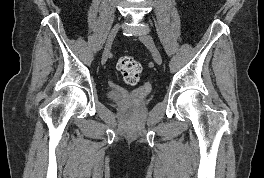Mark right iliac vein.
<instances>
[{
	"instance_id": "right-iliac-vein-1",
	"label": "right iliac vein",
	"mask_w": 264,
	"mask_h": 178,
	"mask_svg": "<svg viewBox=\"0 0 264 178\" xmlns=\"http://www.w3.org/2000/svg\"><path fill=\"white\" fill-rule=\"evenodd\" d=\"M119 30V24H116L110 31L105 48H104V52H103V61H105L109 54H110V49H111V45L118 33Z\"/></svg>"
}]
</instances>
